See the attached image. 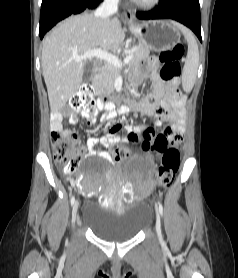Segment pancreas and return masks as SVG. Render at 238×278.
I'll return each instance as SVG.
<instances>
[{
	"instance_id": "pancreas-1",
	"label": "pancreas",
	"mask_w": 238,
	"mask_h": 278,
	"mask_svg": "<svg viewBox=\"0 0 238 278\" xmlns=\"http://www.w3.org/2000/svg\"><path fill=\"white\" fill-rule=\"evenodd\" d=\"M150 54V49L144 45L134 46L130 50L132 59L130 65H136L142 60L146 59ZM119 75V70L117 67L111 64H105L101 72L95 77L93 81V86L96 90L106 94L112 93L115 89L114 83Z\"/></svg>"
}]
</instances>
